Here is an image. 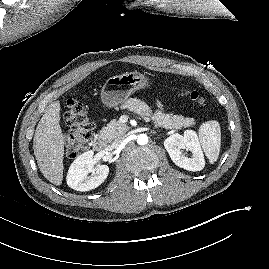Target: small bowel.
I'll list each match as a JSON object with an SVG mask.
<instances>
[{"label": "small bowel", "instance_id": "obj_1", "mask_svg": "<svg viewBox=\"0 0 269 269\" xmlns=\"http://www.w3.org/2000/svg\"><path fill=\"white\" fill-rule=\"evenodd\" d=\"M126 106L139 114H145L148 112V105L146 104L145 101L139 98H132L130 99L127 103Z\"/></svg>", "mask_w": 269, "mask_h": 269}]
</instances>
